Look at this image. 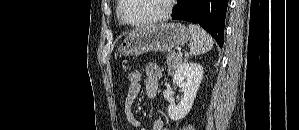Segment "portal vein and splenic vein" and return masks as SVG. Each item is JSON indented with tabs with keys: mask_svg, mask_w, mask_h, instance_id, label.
<instances>
[{
	"mask_svg": "<svg viewBox=\"0 0 299 130\" xmlns=\"http://www.w3.org/2000/svg\"><path fill=\"white\" fill-rule=\"evenodd\" d=\"M177 55H178L179 57H182V53H181V52H179Z\"/></svg>",
	"mask_w": 299,
	"mask_h": 130,
	"instance_id": "obj_1",
	"label": "portal vein and splenic vein"
}]
</instances>
